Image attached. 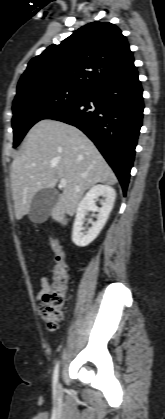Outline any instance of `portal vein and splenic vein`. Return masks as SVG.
<instances>
[{
  "label": "portal vein and splenic vein",
  "mask_w": 165,
  "mask_h": 419,
  "mask_svg": "<svg viewBox=\"0 0 165 419\" xmlns=\"http://www.w3.org/2000/svg\"><path fill=\"white\" fill-rule=\"evenodd\" d=\"M66 183H67V180L66 179H64V178L60 179V185L61 186H65Z\"/></svg>",
  "instance_id": "portal-vein-and-splenic-vein-1"
}]
</instances>
